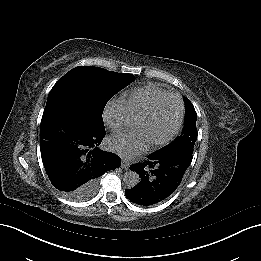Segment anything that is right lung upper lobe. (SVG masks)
I'll use <instances>...</instances> for the list:
<instances>
[{
	"mask_svg": "<svg viewBox=\"0 0 261 261\" xmlns=\"http://www.w3.org/2000/svg\"><path fill=\"white\" fill-rule=\"evenodd\" d=\"M118 74H120V75H122V76H125V77H128V78H130V79H135V77H134L133 74H129V73H118Z\"/></svg>",
	"mask_w": 261,
	"mask_h": 261,
	"instance_id": "1",
	"label": "right lung upper lobe"
}]
</instances>
